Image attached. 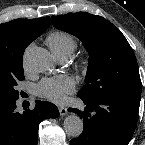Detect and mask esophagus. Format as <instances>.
Masks as SVG:
<instances>
[{"mask_svg": "<svg viewBox=\"0 0 145 145\" xmlns=\"http://www.w3.org/2000/svg\"><path fill=\"white\" fill-rule=\"evenodd\" d=\"M58 109H59V112H60L61 116H64V115L67 114V109L65 107L59 106Z\"/></svg>", "mask_w": 145, "mask_h": 145, "instance_id": "obj_1", "label": "esophagus"}]
</instances>
